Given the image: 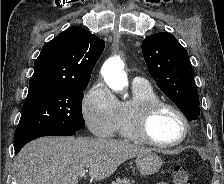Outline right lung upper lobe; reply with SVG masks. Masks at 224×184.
Wrapping results in <instances>:
<instances>
[{"label":"right lung upper lobe","mask_w":224,"mask_h":184,"mask_svg":"<svg viewBox=\"0 0 224 184\" xmlns=\"http://www.w3.org/2000/svg\"><path fill=\"white\" fill-rule=\"evenodd\" d=\"M104 46L102 39L86 29L68 28L43 46L29 87L88 84Z\"/></svg>","instance_id":"1"}]
</instances>
